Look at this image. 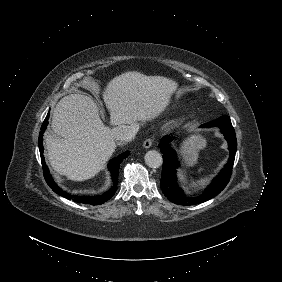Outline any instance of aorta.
<instances>
[{
    "label": "aorta",
    "instance_id": "aorta-1",
    "mask_svg": "<svg viewBox=\"0 0 282 282\" xmlns=\"http://www.w3.org/2000/svg\"><path fill=\"white\" fill-rule=\"evenodd\" d=\"M144 160L146 165L151 168H159L163 163L161 154L156 150L148 151L144 156Z\"/></svg>",
    "mask_w": 282,
    "mask_h": 282
}]
</instances>
